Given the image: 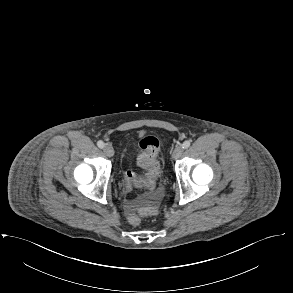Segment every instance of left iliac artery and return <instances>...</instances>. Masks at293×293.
I'll use <instances>...</instances> for the list:
<instances>
[{
  "instance_id": "1",
  "label": "left iliac artery",
  "mask_w": 293,
  "mask_h": 293,
  "mask_svg": "<svg viewBox=\"0 0 293 293\" xmlns=\"http://www.w3.org/2000/svg\"><path fill=\"white\" fill-rule=\"evenodd\" d=\"M190 144H191L190 141L186 140V141L183 142L182 146H183L184 149H187L190 146Z\"/></svg>"
}]
</instances>
